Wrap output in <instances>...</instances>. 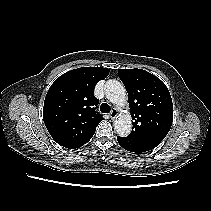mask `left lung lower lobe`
<instances>
[{
  "instance_id": "1",
  "label": "left lung lower lobe",
  "mask_w": 211,
  "mask_h": 211,
  "mask_svg": "<svg viewBox=\"0 0 211 211\" xmlns=\"http://www.w3.org/2000/svg\"><path fill=\"white\" fill-rule=\"evenodd\" d=\"M117 140H118L119 144L123 147V143H122L121 139L119 137H117Z\"/></svg>"
}]
</instances>
